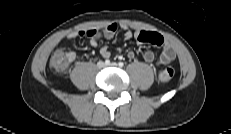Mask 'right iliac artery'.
Listing matches in <instances>:
<instances>
[{
	"label": "right iliac artery",
	"mask_w": 231,
	"mask_h": 134,
	"mask_svg": "<svg viewBox=\"0 0 231 134\" xmlns=\"http://www.w3.org/2000/svg\"><path fill=\"white\" fill-rule=\"evenodd\" d=\"M105 64H106V65H109V64H110V60L106 59V60H105Z\"/></svg>",
	"instance_id": "82829eb1"
}]
</instances>
